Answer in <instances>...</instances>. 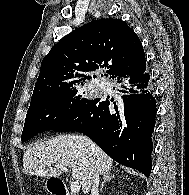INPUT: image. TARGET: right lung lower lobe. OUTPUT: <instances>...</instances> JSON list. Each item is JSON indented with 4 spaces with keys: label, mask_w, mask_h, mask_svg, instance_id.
Instances as JSON below:
<instances>
[{
    "label": "right lung lower lobe",
    "mask_w": 189,
    "mask_h": 195,
    "mask_svg": "<svg viewBox=\"0 0 189 195\" xmlns=\"http://www.w3.org/2000/svg\"><path fill=\"white\" fill-rule=\"evenodd\" d=\"M113 78L121 92L118 105L113 99L91 100L53 130L81 132L116 162L148 177L152 167L151 135L157 112L150 76L145 66L138 71L121 69Z\"/></svg>",
    "instance_id": "98d812e1"
}]
</instances>
